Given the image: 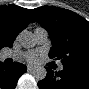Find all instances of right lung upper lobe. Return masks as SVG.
Instances as JSON below:
<instances>
[{"label":"right lung upper lobe","mask_w":89,"mask_h":89,"mask_svg":"<svg viewBox=\"0 0 89 89\" xmlns=\"http://www.w3.org/2000/svg\"><path fill=\"white\" fill-rule=\"evenodd\" d=\"M34 21L31 9L16 5L1 6L0 47H12L16 36Z\"/></svg>","instance_id":"right-lung-upper-lobe-1"}]
</instances>
